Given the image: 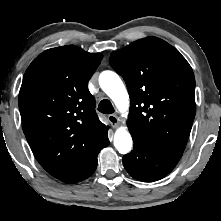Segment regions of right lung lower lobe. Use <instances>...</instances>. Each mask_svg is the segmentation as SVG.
<instances>
[{"instance_id": "1", "label": "right lung lower lobe", "mask_w": 221, "mask_h": 221, "mask_svg": "<svg viewBox=\"0 0 221 221\" xmlns=\"http://www.w3.org/2000/svg\"><path fill=\"white\" fill-rule=\"evenodd\" d=\"M108 135L106 134L105 137L90 151L87 157L77 165L73 170L69 173L63 175L62 177L58 178L59 180L65 183H77L84 179L90 177L97 168V156L98 153L104 148L109 145Z\"/></svg>"}]
</instances>
